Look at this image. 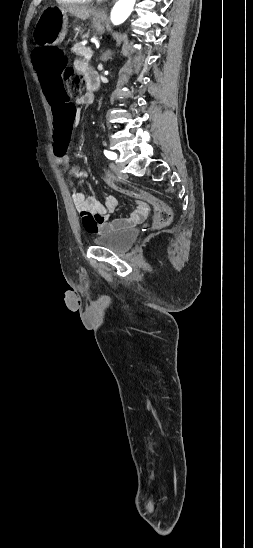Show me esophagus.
<instances>
[{
  "label": "esophagus",
  "mask_w": 253,
  "mask_h": 548,
  "mask_svg": "<svg viewBox=\"0 0 253 548\" xmlns=\"http://www.w3.org/2000/svg\"><path fill=\"white\" fill-rule=\"evenodd\" d=\"M99 15H102V12H101V11L99 12Z\"/></svg>",
  "instance_id": "34e87169"
}]
</instances>
